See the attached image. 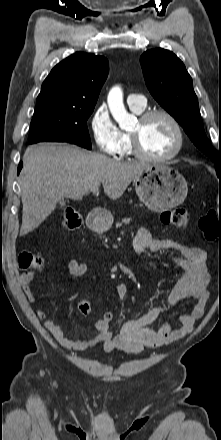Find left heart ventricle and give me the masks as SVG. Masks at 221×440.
Here are the masks:
<instances>
[{
	"label": "left heart ventricle",
	"mask_w": 221,
	"mask_h": 440,
	"mask_svg": "<svg viewBox=\"0 0 221 440\" xmlns=\"http://www.w3.org/2000/svg\"><path fill=\"white\" fill-rule=\"evenodd\" d=\"M131 132L139 137L142 149L152 156L168 155L176 146L174 127L163 116H155L143 123L138 120Z\"/></svg>",
	"instance_id": "left-heart-ventricle-1"
}]
</instances>
